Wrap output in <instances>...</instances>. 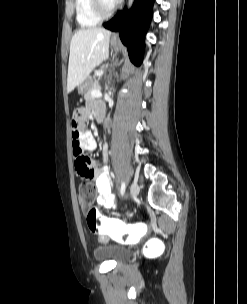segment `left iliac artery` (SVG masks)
I'll use <instances>...</instances> for the list:
<instances>
[{"label": "left iliac artery", "mask_w": 247, "mask_h": 304, "mask_svg": "<svg viewBox=\"0 0 247 304\" xmlns=\"http://www.w3.org/2000/svg\"><path fill=\"white\" fill-rule=\"evenodd\" d=\"M125 189H126V184H125V182H122L121 188H120V194H121V196L124 195Z\"/></svg>", "instance_id": "1"}]
</instances>
